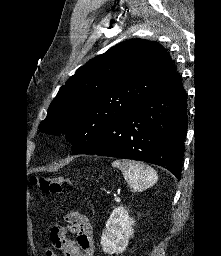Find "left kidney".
<instances>
[{
    "label": "left kidney",
    "instance_id": "obj_1",
    "mask_svg": "<svg viewBox=\"0 0 221 256\" xmlns=\"http://www.w3.org/2000/svg\"><path fill=\"white\" fill-rule=\"evenodd\" d=\"M135 221L128 211L120 206L113 209L102 233L101 245L108 254H120L128 246L129 238L134 234Z\"/></svg>",
    "mask_w": 221,
    "mask_h": 256
}]
</instances>
